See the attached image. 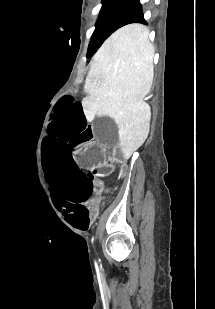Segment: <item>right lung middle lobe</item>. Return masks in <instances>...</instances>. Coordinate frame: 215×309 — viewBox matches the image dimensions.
Returning a JSON list of instances; mask_svg holds the SVG:
<instances>
[{
	"label": "right lung middle lobe",
	"instance_id": "right-lung-middle-lobe-1",
	"mask_svg": "<svg viewBox=\"0 0 215 309\" xmlns=\"http://www.w3.org/2000/svg\"><path fill=\"white\" fill-rule=\"evenodd\" d=\"M134 0H102L100 17L91 37L87 57L92 56L112 32L118 29V24L128 7Z\"/></svg>",
	"mask_w": 215,
	"mask_h": 309
}]
</instances>
